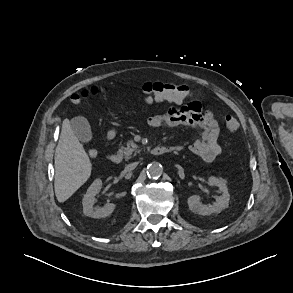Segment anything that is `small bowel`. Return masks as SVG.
I'll list each match as a JSON object with an SVG mask.
<instances>
[{"instance_id": "c3829d8e", "label": "small bowel", "mask_w": 293, "mask_h": 293, "mask_svg": "<svg viewBox=\"0 0 293 293\" xmlns=\"http://www.w3.org/2000/svg\"><path fill=\"white\" fill-rule=\"evenodd\" d=\"M146 101L152 103L154 100L147 97ZM148 124L153 128L186 126L197 131L199 135L189 144L188 149L203 162H213L222 152L219 123L212 112L203 111L197 102L186 105L177 103L164 114L149 117ZM177 147L178 151L182 149V146Z\"/></svg>"}]
</instances>
